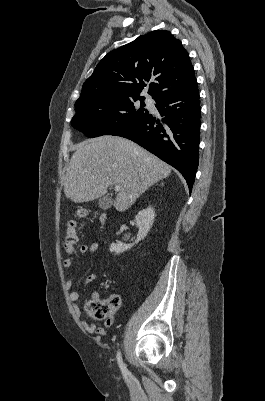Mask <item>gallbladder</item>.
<instances>
[{
  "instance_id": "bac80fb5",
  "label": "gallbladder",
  "mask_w": 265,
  "mask_h": 401,
  "mask_svg": "<svg viewBox=\"0 0 265 401\" xmlns=\"http://www.w3.org/2000/svg\"><path fill=\"white\" fill-rule=\"evenodd\" d=\"M98 205L100 209L106 211V209H110L112 205V198H110V196H101V198H99Z\"/></svg>"
}]
</instances>
